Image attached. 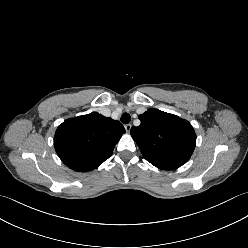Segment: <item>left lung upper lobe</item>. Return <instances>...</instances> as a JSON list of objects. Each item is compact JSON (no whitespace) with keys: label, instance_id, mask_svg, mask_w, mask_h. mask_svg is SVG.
Here are the masks:
<instances>
[{"label":"left lung upper lobe","instance_id":"obj_1","mask_svg":"<svg viewBox=\"0 0 248 248\" xmlns=\"http://www.w3.org/2000/svg\"><path fill=\"white\" fill-rule=\"evenodd\" d=\"M139 119L141 124L130 132L147 161L157 168L174 170L189 160L196 134L187 120L158 109H148Z\"/></svg>","mask_w":248,"mask_h":248}]
</instances>
